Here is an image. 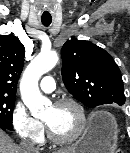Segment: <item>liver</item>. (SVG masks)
Wrapping results in <instances>:
<instances>
[{"mask_svg":"<svg viewBox=\"0 0 130 153\" xmlns=\"http://www.w3.org/2000/svg\"><path fill=\"white\" fill-rule=\"evenodd\" d=\"M0 153H24L23 150L13 143L11 138L0 129ZM57 153H69L68 150H59Z\"/></svg>","mask_w":130,"mask_h":153,"instance_id":"obj_1","label":"liver"}]
</instances>
